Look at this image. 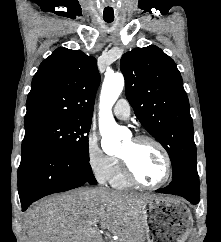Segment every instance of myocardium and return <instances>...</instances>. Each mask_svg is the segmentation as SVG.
<instances>
[{
	"mask_svg": "<svg viewBox=\"0 0 221 242\" xmlns=\"http://www.w3.org/2000/svg\"><path fill=\"white\" fill-rule=\"evenodd\" d=\"M133 141L136 143H141V142H150L154 144L161 154L163 155L164 161H165V173L163 178L155 183V184H148L142 181L133 171L131 164L129 160L123 156L119 155V159L123 168V171L126 175V177L129 179L130 182H132L135 185H138L142 188L145 189H157L162 187L164 184L168 182L170 179L171 173H172V160L169 155V152L165 148V146L156 138L150 136V135H137L133 138Z\"/></svg>",
	"mask_w": 221,
	"mask_h": 242,
	"instance_id": "myocardium-1",
	"label": "myocardium"
}]
</instances>
